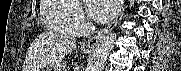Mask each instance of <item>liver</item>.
Listing matches in <instances>:
<instances>
[{
	"instance_id": "obj_1",
	"label": "liver",
	"mask_w": 181,
	"mask_h": 71,
	"mask_svg": "<svg viewBox=\"0 0 181 71\" xmlns=\"http://www.w3.org/2000/svg\"><path fill=\"white\" fill-rule=\"evenodd\" d=\"M75 48V38L54 33H42L34 41L23 69L39 71L47 64L53 65L60 62Z\"/></svg>"
}]
</instances>
